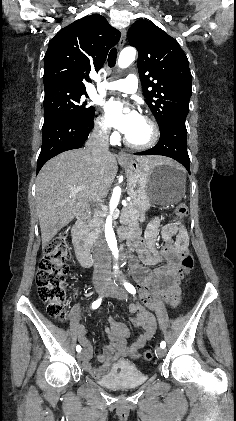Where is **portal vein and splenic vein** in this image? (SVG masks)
<instances>
[{"mask_svg": "<svg viewBox=\"0 0 236 421\" xmlns=\"http://www.w3.org/2000/svg\"><path fill=\"white\" fill-rule=\"evenodd\" d=\"M84 186H75L74 190H83ZM123 206H127V200H122Z\"/></svg>", "mask_w": 236, "mask_h": 421, "instance_id": "portal-vein-and-splenic-vein-1", "label": "portal vein and splenic vein"}]
</instances>
